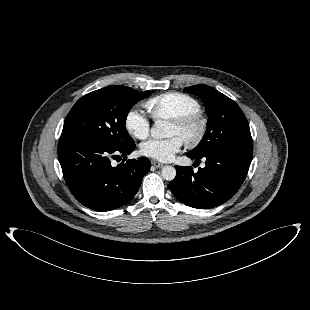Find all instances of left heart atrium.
Returning a JSON list of instances; mask_svg holds the SVG:
<instances>
[{
    "label": "left heart atrium",
    "instance_id": "1",
    "mask_svg": "<svg viewBox=\"0 0 310 310\" xmlns=\"http://www.w3.org/2000/svg\"><path fill=\"white\" fill-rule=\"evenodd\" d=\"M183 145V141L178 136L167 139H151L141 145V153L153 159L168 162L173 159Z\"/></svg>",
    "mask_w": 310,
    "mask_h": 310
}]
</instances>
